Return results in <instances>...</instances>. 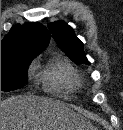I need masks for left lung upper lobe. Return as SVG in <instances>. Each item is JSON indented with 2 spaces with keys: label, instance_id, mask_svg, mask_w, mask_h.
Instances as JSON below:
<instances>
[{
  "label": "left lung upper lobe",
  "instance_id": "left-lung-upper-lobe-1",
  "mask_svg": "<svg viewBox=\"0 0 123 130\" xmlns=\"http://www.w3.org/2000/svg\"><path fill=\"white\" fill-rule=\"evenodd\" d=\"M55 41L66 55L76 64H87V60L83 52V43L75 36L73 29L64 21H56L48 25Z\"/></svg>",
  "mask_w": 123,
  "mask_h": 130
}]
</instances>
